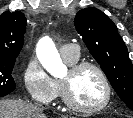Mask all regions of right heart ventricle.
<instances>
[{
  "instance_id": "obj_1",
  "label": "right heart ventricle",
  "mask_w": 133,
  "mask_h": 118,
  "mask_svg": "<svg viewBox=\"0 0 133 118\" xmlns=\"http://www.w3.org/2000/svg\"><path fill=\"white\" fill-rule=\"evenodd\" d=\"M63 58H64L65 62L67 64H69V65H73V64L77 63L78 60H79V56L74 57V58H67V57H63ZM55 83L57 85L58 95H61V93H62V90H61V81L56 80Z\"/></svg>"
}]
</instances>
